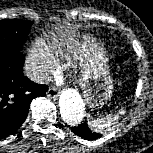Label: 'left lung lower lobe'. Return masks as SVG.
I'll return each mask as SVG.
<instances>
[{
	"label": "left lung lower lobe",
	"mask_w": 153,
	"mask_h": 153,
	"mask_svg": "<svg viewBox=\"0 0 153 153\" xmlns=\"http://www.w3.org/2000/svg\"><path fill=\"white\" fill-rule=\"evenodd\" d=\"M71 130L74 134L86 140H95L102 136L100 133L91 131L86 122L82 123L81 125L72 127Z\"/></svg>",
	"instance_id": "obj_1"
}]
</instances>
